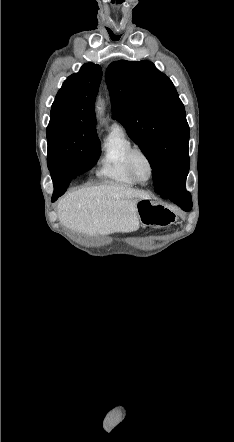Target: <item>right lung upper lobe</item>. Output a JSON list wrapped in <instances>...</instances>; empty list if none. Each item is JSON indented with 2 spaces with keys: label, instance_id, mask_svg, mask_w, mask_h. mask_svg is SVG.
Listing matches in <instances>:
<instances>
[{
  "label": "right lung upper lobe",
  "instance_id": "cb5924a9",
  "mask_svg": "<svg viewBox=\"0 0 234 442\" xmlns=\"http://www.w3.org/2000/svg\"><path fill=\"white\" fill-rule=\"evenodd\" d=\"M101 78L102 69L94 63L69 76L52 104L50 121H71L84 132L97 133L94 102Z\"/></svg>",
  "mask_w": 234,
  "mask_h": 442
}]
</instances>
